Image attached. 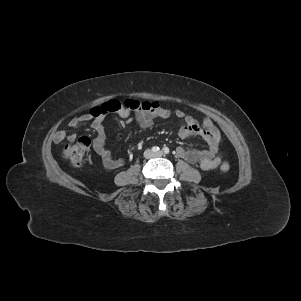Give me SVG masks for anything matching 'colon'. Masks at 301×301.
I'll use <instances>...</instances> for the list:
<instances>
[{
    "label": "colon",
    "mask_w": 301,
    "mask_h": 301,
    "mask_svg": "<svg viewBox=\"0 0 301 301\" xmlns=\"http://www.w3.org/2000/svg\"><path fill=\"white\" fill-rule=\"evenodd\" d=\"M157 103H148V102H140L137 100H111L100 107H95L90 112L94 116H99L101 114H105L108 112L118 113L123 108H130L132 110L137 109H153L157 107ZM90 148V139L87 136H81L73 141L66 143L63 147V155L66 159H68L71 163L75 165H80ZM220 170L222 172H228L230 170V165L227 162H223L220 165Z\"/></svg>",
    "instance_id": "5ec220e1"
}]
</instances>
